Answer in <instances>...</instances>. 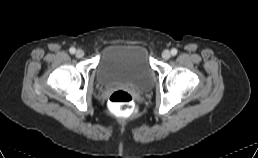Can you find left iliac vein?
I'll return each mask as SVG.
<instances>
[{
    "instance_id": "4c4485c4",
    "label": "left iliac vein",
    "mask_w": 258,
    "mask_h": 158,
    "mask_svg": "<svg viewBox=\"0 0 258 158\" xmlns=\"http://www.w3.org/2000/svg\"><path fill=\"white\" fill-rule=\"evenodd\" d=\"M162 57H163L164 59H169V58L171 57L170 51H169V50H164V51L162 52Z\"/></svg>"
}]
</instances>
